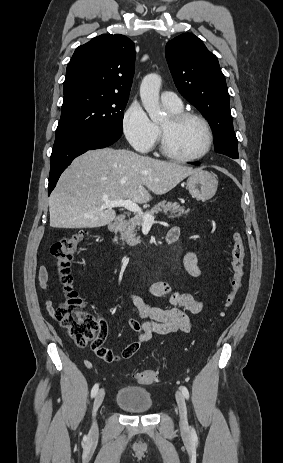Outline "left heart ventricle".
<instances>
[{"instance_id":"b2bd125f","label":"left heart ventricle","mask_w":283,"mask_h":463,"mask_svg":"<svg viewBox=\"0 0 283 463\" xmlns=\"http://www.w3.org/2000/svg\"><path fill=\"white\" fill-rule=\"evenodd\" d=\"M166 132L168 145L172 151L181 156L200 154L207 142L203 125L195 119H188L179 125H172L169 117L160 122Z\"/></svg>"}]
</instances>
